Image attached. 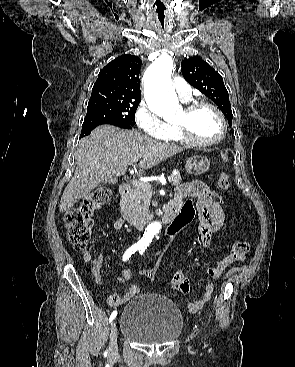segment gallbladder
<instances>
[{"label":"gallbladder","instance_id":"gallbladder-1","mask_svg":"<svg viewBox=\"0 0 295 367\" xmlns=\"http://www.w3.org/2000/svg\"><path fill=\"white\" fill-rule=\"evenodd\" d=\"M114 183H116L115 179H113V180L108 179V180L103 182V184H114Z\"/></svg>","mask_w":295,"mask_h":367}]
</instances>
